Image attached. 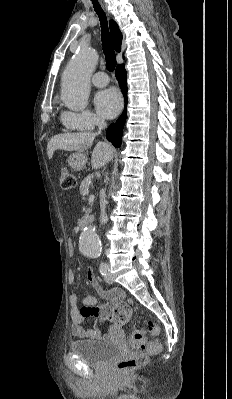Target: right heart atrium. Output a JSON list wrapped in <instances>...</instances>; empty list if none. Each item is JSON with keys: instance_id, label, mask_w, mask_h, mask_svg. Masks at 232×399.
I'll use <instances>...</instances> for the list:
<instances>
[{"instance_id": "d8ad5b80", "label": "right heart atrium", "mask_w": 232, "mask_h": 399, "mask_svg": "<svg viewBox=\"0 0 232 399\" xmlns=\"http://www.w3.org/2000/svg\"><path fill=\"white\" fill-rule=\"evenodd\" d=\"M66 104H81V103H66ZM62 120L70 125H75L82 130H91L95 122H99L98 118L88 110L81 112L65 111L62 114Z\"/></svg>"}]
</instances>
